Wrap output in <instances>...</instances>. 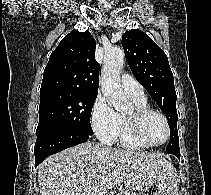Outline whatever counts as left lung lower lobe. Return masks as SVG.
I'll use <instances>...</instances> for the list:
<instances>
[{"mask_svg": "<svg viewBox=\"0 0 211 195\" xmlns=\"http://www.w3.org/2000/svg\"><path fill=\"white\" fill-rule=\"evenodd\" d=\"M174 155L180 159V152H177Z\"/></svg>", "mask_w": 211, "mask_h": 195, "instance_id": "obj_1", "label": "left lung lower lobe"}]
</instances>
